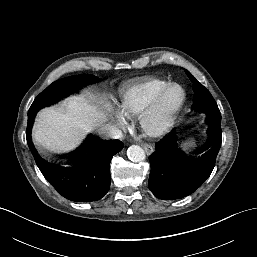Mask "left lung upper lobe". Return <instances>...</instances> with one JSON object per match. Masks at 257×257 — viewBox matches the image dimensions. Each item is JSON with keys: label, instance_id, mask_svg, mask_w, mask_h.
<instances>
[{"label": "left lung upper lobe", "instance_id": "left-lung-upper-lobe-1", "mask_svg": "<svg viewBox=\"0 0 257 257\" xmlns=\"http://www.w3.org/2000/svg\"><path fill=\"white\" fill-rule=\"evenodd\" d=\"M185 72L193 83L194 97L192 109L205 113L207 118L212 115H219L220 111L218 106L209 91L199 83L190 72L187 70H185Z\"/></svg>", "mask_w": 257, "mask_h": 257}]
</instances>
